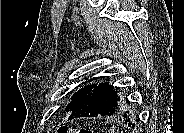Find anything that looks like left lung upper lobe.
<instances>
[{
  "label": "left lung upper lobe",
  "instance_id": "obj_1",
  "mask_svg": "<svg viewBox=\"0 0 184 133\" xmlns=\"http://www.w3.org/2000/svg\"><path fill=\"white\" fill-rule=\"evenodd\" d=\"M95 84H89L87 86L82 87L79 91H77L72 97V101L66 106L67 112H72L73 109L92 91ZM125 98H123V106L124 108L127 104ZM130 109L132 111V114L138 118L137 110L133 106L132 103H130Z\"/></svg>",
  "mask_w": 184,
  "mask_h": 133
}]
</instances>
